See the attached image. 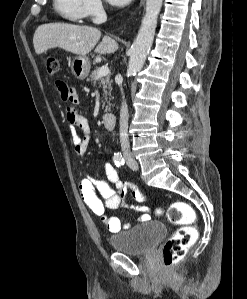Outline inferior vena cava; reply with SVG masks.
<instances>
[{"instance_id": "602c4592", "label": "inferior vena cava", "mask_w": 247, "mask_h": 299, "mask_svg": "<svg viewBox=\"0 0 247 299\" xmlns=\"http://www.w3.org/2000/svg\"><path fill=\"white\" fill-rule=\"evenodd\" d=\"M121 92L122 87H121ZM124 99V96H123ZM128 107L126 104V101H122L121 110H120V128H119V134H120V143H121V149L123 153H128L130 151V144H129V137H128Z\"/></svg>"}]
</instances>
